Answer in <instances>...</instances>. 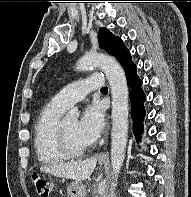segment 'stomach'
Masks as SVG:
<instances>
[{
  "instance_id": "obj_1",
  "label": "stomach",
  "mask_w": 191,
  "mask_h": 197,
  "mask_svg": "<svg viewBox=\"0 0 191 197\" xmlns=\"http://www.w3.org/2000/svg\"><path fill=\"white\" fill-rule=\"evenodd\" d=\"M99 164H106V161L99 160ZM86 189L82 181H73L67 187V197H85Z\"/></svg>"
}]
</instances>
